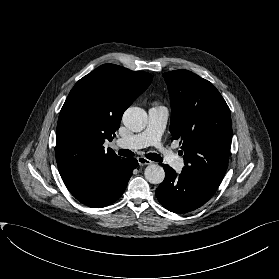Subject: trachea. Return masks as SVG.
<instances>
[{
	"mask_svg": "<svg viewBox=\"0 0 279 279\" xmlns=\"http://www.w3.org/2000/svg\"><path fill=\"white\" fill-rule=\"evenodd\" d=\"M118 154L120 156H125V157H132L134 156V153L128 149H120L118 151ZM146 158H148L149 160L152 161H156V162H161L163 159L160 157V155L156 154V153H149L146 155Z\"/></svg>",
	"mask_w": 279,
	"mask_h": 279,
	"instance_id": "3493384b",
	"label": "trachea"
}]
</instances>
